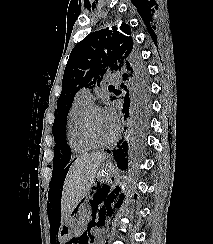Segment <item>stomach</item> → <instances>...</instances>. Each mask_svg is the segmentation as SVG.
Returning <instances> with one entry per match:
<instances>
[{
  "instance_id": "0dacf381",
  "label": "stomach",
  "mask_w": 213,
  "mask_h": 244,
  "mask_svg": "<svg viewBox=\"0 0 213 244\" xmlns=\"http://www.w3.org/2000/svg\"><path fill=\"white\" fill-rule=\"evenodd\" d=\"M108 164V161H105ZM110 177L109 171L100 170L95 178L94 184L104 183ZM81 230V221L78 218V208L76 207L72 213L65 219L60 228V236L64 239H72L73 235Z\"/></svg>"
}]
</instances>
